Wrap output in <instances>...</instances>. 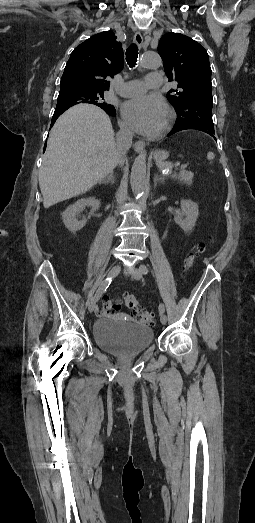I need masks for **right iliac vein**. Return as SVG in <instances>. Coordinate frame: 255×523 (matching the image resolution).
I'll return each instance as SVG.
<instances>
[{
    "mask_svg": "<svg viewBox=\"0 0 255 523\" xmlns=\"http://www.w3.org/2000/svg\"><path fill=\"white\" fill-rule=\"evenodd\" d=\"M120 270H121V266H120L119 264L113 266V267L111 268L109 274H108V277L113 278V277L117 276V274L120 272ZM96 302H97V300H96L95 297H93V298L90 300V302H89V304H88V309H89L90 312H93V311L95 310V308H96Z\"/></svg>",
    "mask_w": 255,
    "mask_h": 523,
    "instance_id": "1",
    "label": "right iliac vein"
}]
</instances>
